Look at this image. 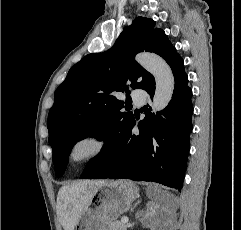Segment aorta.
Masks as SVG:
<instances>
[{
	"label": "aorta",
	"instance_id": "762f6f07",
	"mask_svg": "<svg viewBox=\"0 0 241 230\" xmlns=\"http://www.w3.org/2000/svg\"><path fill=\"white\" fill-rule=\"evenodd\" d=\"M136 61L155 79L154 111L163 110L171 101L175 87L171 68L160 56L152 53L138 54Z\"/></svg>",
	"mask_w": 241,
	"mask_h": 230
}]
</instances>
